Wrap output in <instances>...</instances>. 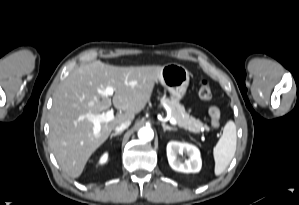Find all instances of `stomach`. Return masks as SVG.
<instances>
[{"label": "stomach", "mask_w": 299, "mask_h": 205, "mask_svg": "<svg viewBox=\"0 0 299 205\" xmlns=\"http://www.w3.org/2000/svg\"><path fill=\"white\" fill-rule=\"evenodd\" d=\"M159 82L174 98L181 100L189 85V72L180 64H166L162 67Z\"/></svg>", "instance_id": "0dacf381"}]
</instances>
